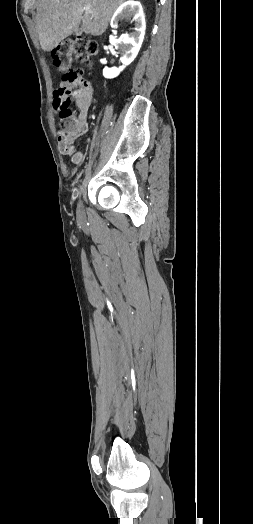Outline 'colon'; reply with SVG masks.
I'll use <instances>...</instances> for the list:
<instances>
[{"mask_svg":"<svg viewBox=\"0 0 253 524\" xmlns=\"http://www.w3.org/2000/svg\"><path fill=\"white\" fill-rule=\"evenodd\" d=\"M97 42L82 36H72L65 39L56 48L53 54V63L62 80L57 89L63 95L58 102L57 110L60 118V128L69 136L79 128L74 115V102L76 97H87L94 93L93 81L84 75L83 69L73 67L75 61L83 66H89L91 58L97 53ZM56 89V90H57Z\"/></svg>","mask_w":253,"mask_h":524,"instance_id":"1","label":"colon"}]
</instances>
